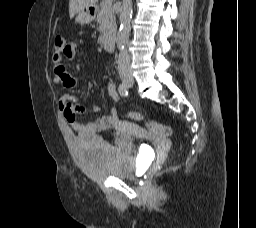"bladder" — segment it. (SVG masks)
<instances>
[{
  "instance_id": "31cf9c89",
  "label": "bladder",
  "mask_w": 256,
  "mask_h": 228,
  "mask_svg": "<svg viewBox=\"0 0 256 228\" xmlns=\"http://www.w3.org/2000/svg\"><path fill=\"white\" fill-rule=\"evenodd\" d=\"M76 148L83 167L95 178L128 179L137 170L136 155L129 137H120L117 144H111L97 136L84 134L77 137Z\"/></svg>"
}]
</instances>
